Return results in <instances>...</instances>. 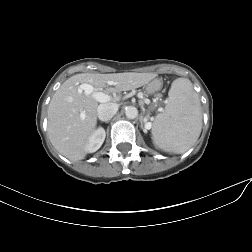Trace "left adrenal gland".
Masks as SVG:
<instances>
[{"label":"left adrenal gland","instance_id":"1","mask_svg":"<svg viewBox=\"0 0 252 252\" xmlns=\"http://www.w3.org/2000/svg\"><path fill=\"white\" fill-rule=\"evenodd\" d=\"M144 122H145V125H146V118H144ZM141 128L143 129V132H147V129L145 127H143V124L141 122Z\"/></svg>","mask_w":252,"mask_h":252}]
</instances>
